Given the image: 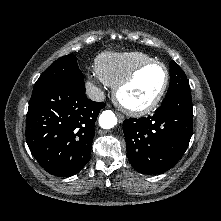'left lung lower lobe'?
Listing matches in <instances>:
<instances>
[{
  "mask_svg": "<svg viewBox=\"0 0 221 221\" xmlns=\"http://www.w3.org/2000/svg\"><path fill=\"white\" fill-rule=\"evenodd\" d=\"M192 123L190 88L165 97L152 116L125 120L123 131L130 164L142 174L171 169L188 147Z\"/></svg>",
  "mask_w": 221,
  "mask_h": 221,
  "instance_id": "obj_1",
  "label": "left lung lower lobe"
}]
</instances>
